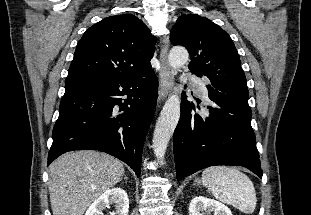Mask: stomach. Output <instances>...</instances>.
<instances>
[{"instance_id":"1","label":"stomach","mask_w":311,"mask_h":215,"mask_svg":"<svg viewBox=\"0 0 311 215\" xmlns=\"http://www.w3.org/2000/svg\"><path fill=\"white\" fill-rule=\"evenodd\" d=\"M195 183H196V184H200V183H201V181H200V180H198V179H196V180H195Z\"/></svg>"}]
</instances>
